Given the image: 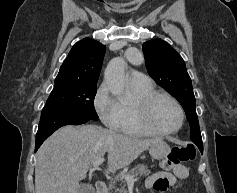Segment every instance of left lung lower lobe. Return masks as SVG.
Segmentation results:
<instances>
[{
    "label": "left lung lower lobe",
    "instance_id": "0a47b994",
    "mask_svg": "<svg viewBox=\"0 0 237 193\" xmlns=\"http://www.w3.org/2000/svg\"><path fill=\"white\" fill-rule=\"evenodd\" d=\"M201 153H203V149H200Z\"/></svg>",
    "mask_w": 237,
    "mask_h": 193
}]
</instances>
